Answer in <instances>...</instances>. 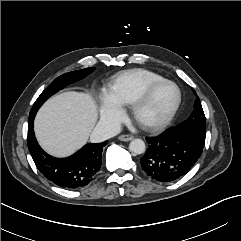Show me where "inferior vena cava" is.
Returning a JSON list of instances; mask_svg holds the SVG:
<instances>
[{
  "instance_id": "1",
  "label": "inferior vena cava",
  "mask_w": 241,
  "mask_h": 241,
  "mask_svg": "<svg viewBox=\"0 0 241 241\" xmlns=\"http://www.w3.org/2000/svg\"><path fill=\"white\" fill-rule=\"evenodd\" d=\"M121 132L120 124L109 123V122H98L95 128L93 129L90 140L92 143L103 142L107 139H110Z\"/></svg>"
}]
</instances>
